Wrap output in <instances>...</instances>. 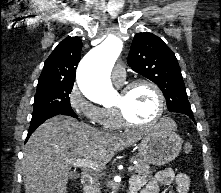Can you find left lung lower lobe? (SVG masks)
I'll list each match as a JSON object with an SVG mask.
<instances>
[{"mask_svg":"<svg viewBox=\"0 0 221 193\" xmlns=\"http://www.w3.org/2000/svg\"><path fill=\"white\" fill-rule=\"evenodd\" d=\"M179 113H182V114H185L187 116H189L193 121H194V116H193V113L192 112H179Z\"/></svg>","mask_w":221,"mask_h":193,"instance_id":"left-lung-lower-lobe-1","label":"left lung lower lobe"}]
</instances>
